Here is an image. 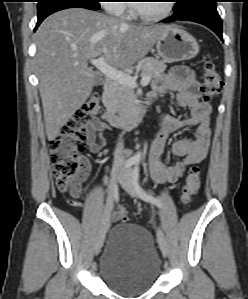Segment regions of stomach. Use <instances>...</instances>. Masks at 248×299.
<instances>
[{
    "label": "stomach",
    "mask_w": 248,
    "mask_h": 299,
    "mask_svg": "<svg viewBox=\"0 0 248 299\" xmlns=\"http://www.w3.org/2000/svg\"><path fill=\"white\" fill-rule=\"evenodd\" d=\"M160 57L167 62H180L194 58L199 52L196 39L177 26H166L156 41Z\"/></svg>",
    "instance_id": "1"
}]
</instances>
